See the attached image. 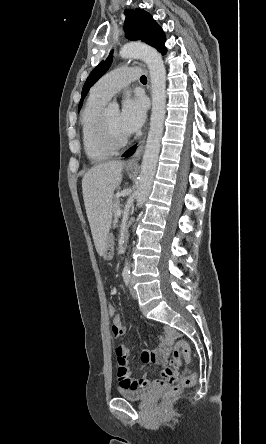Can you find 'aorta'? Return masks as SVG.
<instances>
[{
  "mask_svg": "<svg viewBox=\"0 0 266 444\" xmlns=\"http://www.w3.org/2000/svg\"><path fill=\"white\" fill-rule=\"evenodd\" d=\"M120 56L123 58L141 59L147 64L150 71L152 111L150 128L139 175V186L136 191L137 207L141 208L152 188L164 130L166 113V70L160 53L146 44H126L121 48ZM109 108L118 110L119 105L116 102H112L109 104ZM124 272H129L128 260L125 261Z\"/></svg>",
  "mask_w": 266,
  "mask_h": 444,
  "instance_id": "aorta-1",
  "label": "aorta"
}]
</instances>
